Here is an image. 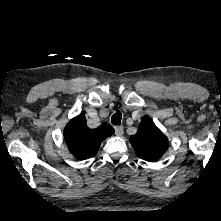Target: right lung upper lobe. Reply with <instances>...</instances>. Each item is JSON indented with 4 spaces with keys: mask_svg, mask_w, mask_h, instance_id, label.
Instances as JSON below:
<instances>
[{
    "mask_svg": "<svg viewBox=\"0 0 221 221\" xmlns=\"http://www.w3.org/2000/svg\"><path fill=\"white\" fill-rule=\"evenodd\" d=\"M114 129L107 123H103L96 129L87 127L84 114L70 120L64 129V138L70 152L77 159H88L94 156L101 142L111 136Z\"/></svg>",
    "mask_w": 221,
    "mask_h": 221,
    "instance_id": "1",
    "label": "right lung upper lobe"
}]
</instances>
